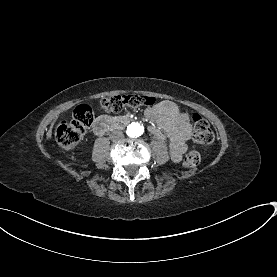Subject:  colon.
<instances>
[{
  "instance_id": "obj_1",
  "label": "colon",
  "mask_w": 277,
  "mask_h": 277,
  "mask_svg": "<svg viewBox=\"0 0 277 277\" xmlns=\"http://www.w3.org/2000/svg\"><path fill=\"white\" fill-rule=\"evenodd\" d=\"M154 102V98L148 95H115L98 99L96 106L99 112H115L116 110L120 112L127 106L133 108L151 106ZM82 104L84 106L79 107L71 119L61 122L56 132L58 142L65 149L74 148L93 122L94 110L85 106L87 104L85 101ZM192 128L195 143L209 144L214 141V133L203 117L195 116L192 120ZM200 162L199 152H189L185 155L184 164L187 167H196Z\"/></svg>"
}]
</instances>
